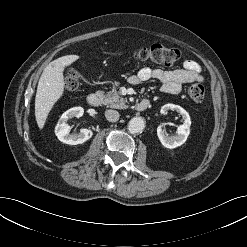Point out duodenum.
I'll list each match as a JSON object with an SVG mask.
<instances>
[{"mask_svg":"<svg viewBox=\"0 0 247 247\" xmlns=\"http://www.w3.org/2000/svg\"><path fill=\"white\" fill-rule=\"evenodd\" d=\"M101 102V96L97 93H92L87 96V103L90 106H98ZM150 106V100L143 99L136 105L137 111H145Z\"/></svg>","mask_w":247,"mask_h":247,"instance_id":"duodenum-1","label":"duodenum"}]
</instances>
